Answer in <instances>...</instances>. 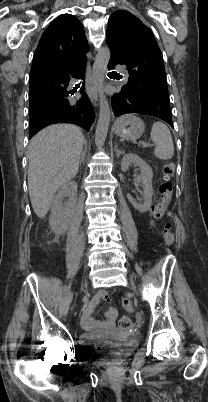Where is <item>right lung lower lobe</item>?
Listing matches in <instances>:
<instances>
[{
  "mask_svg": "<svg viewBox=\"0 0 208 402\" xmlns=\"http://www.w3.org/2000/svg\"><path fill=\"white\" fill-rule=\"evenodd\" d=\"M86 54L81 56L70 73H44L31 75L29 92L44 93L52 98H45V110L30 116L29 139L44 127L55 123H72L90 130L95 120L92 104L84 92V83L80 90L81 98L73 103L67 86L71 77L85 78ZM72 94V93H71Z\"/></svg>",
  "mask_w": 208,
  "mask_h": 402,
  "instance_id": "obj_1",
  "label": "right lung lower lobe"
}]
</instances>
